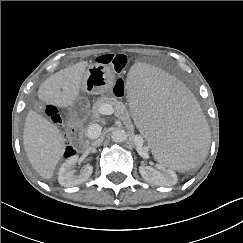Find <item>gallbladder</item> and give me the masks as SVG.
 Segmentation results:
<instances>
[{
    "label": "gallbladder",
    "mask_w": 243,
    "mask_h": 243,
    "mask_svg": "<svg viewBox=\"0 0 243 243\" xmlns=\"http://www.w3.org/2000/svg\"><path fill=\"white\" fill-rule=\"evenodd\" d=\"M43 105L41 104V103H36L35 104V106H34V110L36 111V112H40V111H42L43 110ZM44 113V112H43ZM45 114V113H44ZM46 115V114H45Z\"/></svg>",
    "instance_id": "gallbladder-1"
}]
</instances>
